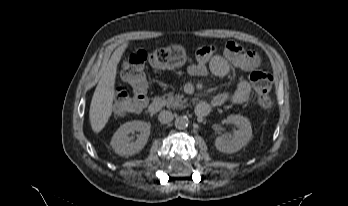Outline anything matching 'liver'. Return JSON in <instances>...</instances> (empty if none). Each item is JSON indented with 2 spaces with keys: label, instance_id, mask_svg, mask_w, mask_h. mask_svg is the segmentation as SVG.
<instances>
[{
  "label": "liver",
  "instance_id": "obj_1",
  "mask_svg": "<svg viewBox=\"0 0 348 206\" xmlns=\"http://www.w3.org/2000/svg\"><path fill=\"white\" fill-rule=\"evenodd\" d=\"M127 47V42L120 45L102 67L101 78L94 91L89 110L91 127L95 133H99L105 127L112 114L117 65Z\"/></svg>",
  "mask_w": 348,
  "mask_h": 206
}]
</instances>
